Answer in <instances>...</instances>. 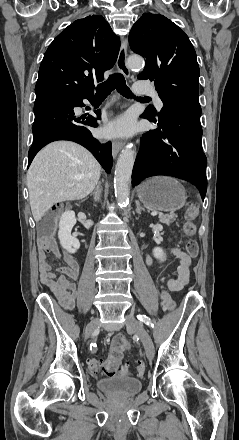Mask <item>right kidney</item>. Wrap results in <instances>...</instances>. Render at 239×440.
Instances as JSON below:
<instances>
[{
    "mask_svg": "<svg viewBox=\"0 0 239 440\" xmlns=\"http://www.w3.org/2000/svg\"><path fill=\"white\" fill-rule=\"evenodd\" d=\"M76 224L75 212L68 210L64 212L60 218L59 222V232L58 238L60 242H63V246H68L70 244L72 254H75L80 248V242L77 240L76 236H71V230Z\"/></svg>",
    "mask_w": 239,
    "mask_h": 440,
    "instance_id": "1",
    "label": "right kidney"
}]
</instances>
